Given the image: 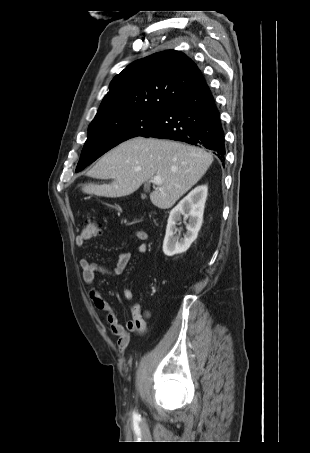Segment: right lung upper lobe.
<instances>
[{
    "mask_svg": "<svg viewBox=\"0 0 310 453\" xmlns=\"http://www.w3.org/2000/svg\"><path fill=\"white\" fill-rule=\"evenodd\" d=\"M204 80L185 54L166 50L137 60L110 83L94 118L121 112L163 111Z\"/></svg>",
    "mask_w": 310,
    "mask_h": 453,
    "instance_id": "obj_1",
    "label": "right lung upper lobe"
}]
</instances>
